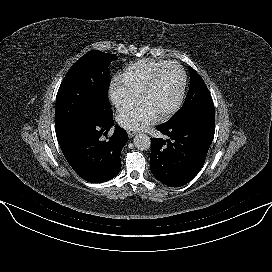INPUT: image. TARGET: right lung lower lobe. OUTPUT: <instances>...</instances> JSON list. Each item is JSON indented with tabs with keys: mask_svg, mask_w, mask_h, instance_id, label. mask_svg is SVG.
I'll list each match as a JSON object with an SVG mask.
<instances>
[{
	"mask_svg": "<svg viewBox=\"0 0 272 272\" xmlns=\"http://www.w3.org/2000/svg\"><path fill=\"white\" fill-rule=\"evenodd\" d=\"M113 125V116L102 121L85 119L58 138L69 165L88 182H106L121 170L120 152L128 141L126 131L116 126L108 141L101 139Z\"/></svg>",
	"mask_w": 272,
	"mask_h": 272,
	"instance_id": "right-lung-lower-lobe-1",
	"label": "right lung lower lobe"
}]
</instances>
